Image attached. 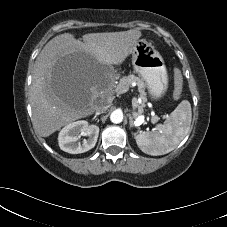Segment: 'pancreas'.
<instances>
[{
    "label": "pancreas",
    "mask_w": 227,
    "mask_h": 227,
    "mask_svg": "<svg viewBox=\"0 0 227 227\" xmlns=\"http://www.w3.org/2000/svg\"><path fill=\"white\" fill-rule=\"evenodd\" d=\"M135 83L138 87V90H139V93H140V96H141V99H142V103L141 104H138V112L137 114H141L144 110V107H145V102L147 101V98H146V92H145V88H146V84L145 82L143 81L142 78L138 77V76H135L134 74H130L128 76H124L120 79V82L118 85H121L123 86L124 88H128L133 84ZM117 85V86H118ZM117 88V87H116ZM116 91V89H115ZM119 94V93H118ZM158 117L157 116H154L152 117L151 119V122L152 123H156L158 121Z\"/></svg>",
    "instance_id": "obj_1"
}]
</instances>
